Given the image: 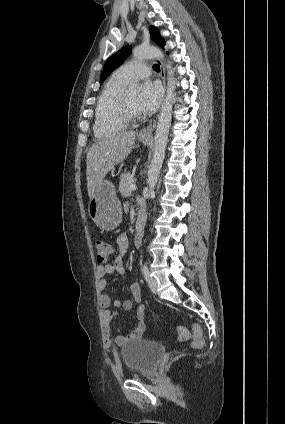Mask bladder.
Masks as SVG:
<instances>
[{
    "mask_svg": "<svg viewBox=\"0 0 285 424\" xmlns=\"http://www.w3.org/2000/svg\"><path fill=\"white\" fill-rule=\"evenodd\" d=\"M163 355L164 348L149 340H131L119 348V356L125 369L133 376L154 372Z\"/></svg>",
    "mask_w": 285,
    "mask_h": 424,
    "instance_id": "obj_1",
    "label": "bladder"
}]
</instances>
